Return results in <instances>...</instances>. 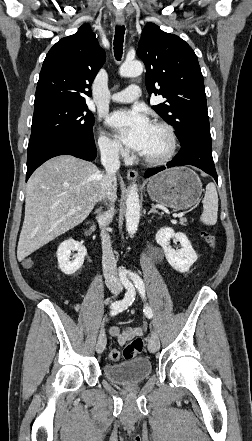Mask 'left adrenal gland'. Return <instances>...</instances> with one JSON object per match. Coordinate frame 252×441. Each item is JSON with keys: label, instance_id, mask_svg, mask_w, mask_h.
<instances>
[{"label": "left adrenal gland", "instance_id": "obj_1", "mask_svg": "<svg viewBox=\"0 0 252 441\" xmlns=\"http://www.w3.org/2000/svg\"><path fill=\"white\" fill-rule=\"evenodd\" d=\"M151 206H152V208H151V210L148 212V214L155 213V214H159V215H160V213L158 212V210H156L154 204H152Z\"/></svg>", "mask_w": 252, "mask_h": 441}]
</instances>
